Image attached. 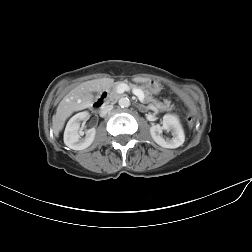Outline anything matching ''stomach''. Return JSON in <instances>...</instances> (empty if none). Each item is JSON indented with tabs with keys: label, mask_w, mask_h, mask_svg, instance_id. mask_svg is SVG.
<instances>
[{
	"label": "stomach",
	"mask_w": 252,
	"mask_h": 252,
	"mask_svg": "<svg viewBox=\"0 0 252 252\" xmlns=\"http://www.w3.org/2000/svg\"><path fill=\"white\" fill-rule=\"evenodd\" d=\"M144 89L152 94H157L161 90V84L156 80H149L144 83Z\"/></svg>",
	"instance_id": "stomach-1"
}]
</instances>
